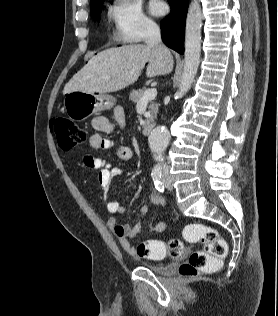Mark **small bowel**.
Here are the masks:
<instances>
[{"label": "small bowel", "instance_id": "obj_1", "mask_svg": "<svg viewBox=\"0 0 278 316\" xmlns=\"http://www.w3.org/2000/svg\"><path fill=\"white\" fill-rule=\"evenodd\" d=\"M114 120L115 123L105 116H97L92 120V128L95 130V133L89 139V145L92 149L98 151L115 147V142L105 137L104 134H110L115 129H123L125 127V113L121 106L115 107ZM116 154L122 161H130L134 155L132 148L126 145L118 146ZM82 160L86 167L98 171V183L103 190L107 211L111 214L107 220V227L127 253L139 256L137 248L131 243V240L142 231L141 218L146 214L150 205L164 206L165 201L158 193L153 191L149 195L148 203L141 208L139 219L135 223L118 224L115 214L124 213L125 207L118 201L109 199V190L112 181L123 173L122 169L112 166L106 160L93 154L84 155ZM165 226V222L161 220L148 224L147 228L149 232L161 233Z\"/></svg>", "mask_w": 278, "mask_h": 316}]
</instances>
